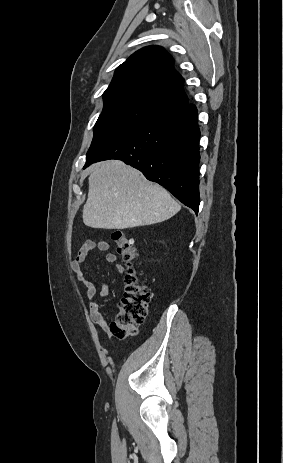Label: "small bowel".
Wrapping results in <instances>:
<instances>
[{
  "label": "small bowel",
  "instance_id": "obj_1",
  "mask_svg": "<svg viewBox=\"0 0 283 463\" xmlns=\"http://www.w3.org/2000/svg\"><path fill=\"white\" fill-rule=\"evenodd\" d=\"M100 250L103 252H107L106 254V261L110 264L115 265V270L117 273L122 274L124 271L123 266L117 262V256L109 252L110 245L107 241H93L88 240L82 244L79 248L76 257L72 261V269L77 274L78 279L84 284L86 288V296L89 300V311L90 317L94 324L100 326L103 331L110 336L109 325L104 317V315L100 311L99 303L95 300L97 295V288L93 281L86 278L83 273V266L87 260L89 253L93 250ZM109 293V286L107 283H102L101 289L98 292V295L101 299L105 298Z\"/></svg>",
  "mask_w": 283,
  "mask_h": 463
}]
</instances>
